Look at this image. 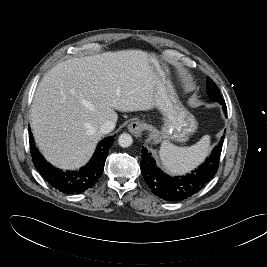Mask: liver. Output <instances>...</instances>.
Returning a JSON list of instances; mask_svg holds the SVG:
<instances>
[{
	"mask_svg": "<svg viewBox=\"0 0 267 267\" xmlns=\"http://www.w3.org/2000/svg\"><path fill=\"white\" fill-rule=\"evenodd\" d=\"M155 74L141 50L105 52L58 63L39 83L31 106L36 144L53 165L83 166L102 137L105 121L154 105Z\"/></svg>",
	"mask_w": 267,
	"mask_h": 267,
	"instance_id": "obj_1",
	"label": "liver"
}]
</instances>
